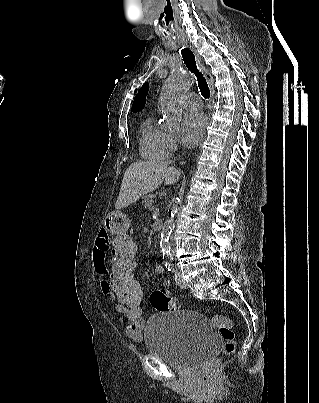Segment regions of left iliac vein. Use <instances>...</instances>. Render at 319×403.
<instances>
[{
  "label": "left iliac vein",
  "mask_w": 319,
  "mask_h": 403,
  "mask_svg": "<svg viewBox=\"0 0 319 403\" xmlns=\"http://www.w3.org/2000/svg\"><path fill=\"white\" fill-rule=\"evenodd\" d=\"M175 281H176L177 285H178L180 288H182V289H186V288H187V284H186V282L184 281V279H183L181 273H180L178 270L175 271Z\"/></svg>",
  "instance_id": "4c4485c4"
}]
</instances>
